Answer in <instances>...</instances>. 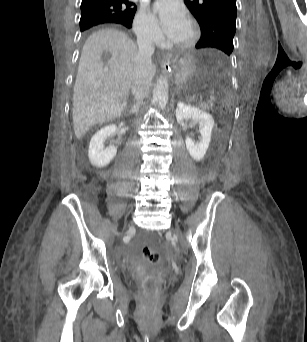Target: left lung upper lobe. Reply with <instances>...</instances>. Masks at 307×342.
Returning <instances> with one entry per match:
<instances>
[{
    "instance_id": "obj_1",
    "label": "left lung upper lobe",
    "mask_w": 307,
    "mask_h": 342,
    "mask_svg": "<svg viewBox=\"0 0 307 342\" xmlns=\"http://www.w3.org/2000/svg\"><path fill=\"white\" fill-rule=\"evenodd\" d=\"M201 29L196 48H216L233 52L236 31V0H184Z\"/></svg>"
}]
</instances>
